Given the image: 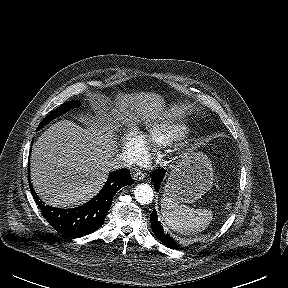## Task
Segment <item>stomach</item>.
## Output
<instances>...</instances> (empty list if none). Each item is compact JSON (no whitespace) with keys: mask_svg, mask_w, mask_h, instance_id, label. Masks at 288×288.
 Segmentation results:
<instances>
[{"mask_svg":"<svg viewBox=\"0 0 288 288\" xmlns=\"http://www.w3.org/2000/svg\"><path fill=\"white\" fill-rule=\"evenodd\" d=\"M213 180L214 170L210 159L201 152L186 153L173 165L163 197L193 203L211 189Z\"/></svg>","mask_w":288,"mask_h":288,"instance_id":"obj_1","label":"stomach"}]
</instances>
